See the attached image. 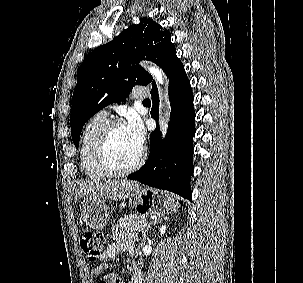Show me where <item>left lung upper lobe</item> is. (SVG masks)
I'll list each match as a JSON object with an SVG mask.
<instances>
[{"label": "left lung upper lobe", "mask_w": 303, "mask_h": 283, "mask_svg": "<svg viewBox=\"0 0 303 283\" xmlns=\"http://www.w3.org/2000/svg\"><path fill=\"white\" fill-rule=\"evenodd\" d=\"M176 57L171 33L147 17L94 49L79 67L72 97L70 125L75 146L94 114L111 103L125 101L133 86L155 82L139 61H152L165 72Z\"/></svg>", "instance_id": "5c2ea615"}]
</instances>
